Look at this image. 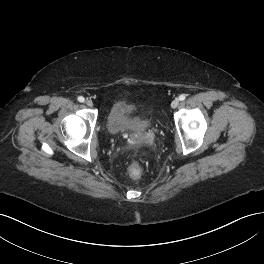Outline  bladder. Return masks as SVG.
<instances>
[{"instance_id":"31cf9c89","label":"bladder","mask_w":264,"mask_h":264,"mask_svg":"<svg viewBox=\"0 0 264 264\" xmlns=\"http://www.w3.org/2000/svg\"><path fill=\"white\" fill-rule=\"evenodd\" d=\"M107 128L111 133H123L144 129L146 122L138 114L135 105L120 100L114 103L106 116Z\"/></svg>"}]
</instances>
